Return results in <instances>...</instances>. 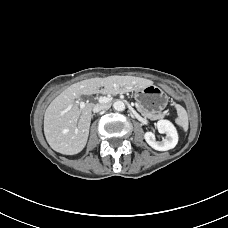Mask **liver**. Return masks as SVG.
<instances>
[{
  "label": "liver",
  "instance_id": "6515ba94",
  "mask_svg": "<svg viewBox=\"0 0 228 228\" xmlns=\"http://www.w3.org/2000/svg\"><path fill=\"white\" fill-rule=\"evenodd\" d=\"M153 85L149 79L134 76H108L86 79L70 85L48 106L44 114V134L50 147L61 154L75 155L86 146L92 117L93 103L79 109L81 95L99 92L118 94Z\"/></svg>",
  "mask_w": 228,
  "mask_h": 228
}]
</instances>
